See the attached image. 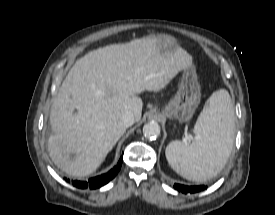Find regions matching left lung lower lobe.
I'll return each mask as SVG.
<instances>
[{"instance_id": "0a47b994", "label": "left lung lower lobe", "mask_w": 275, "mask_h": 215, "mask_svg": "<svg viewBox=\"0 0 275 215\" xmlns=\"http://www.w3.org/2000/svg\"><path fill=\"white\" fill-rule=\"evenodd\" d=\"M174 188L177 189L178 191H181L182 193H197L200 191L205 190L207 187L204 185L200 186H185L181 184H174Z\"/></svg>"}]
</instances>
